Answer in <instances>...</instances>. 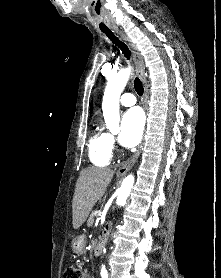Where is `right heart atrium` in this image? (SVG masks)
Instances as JSON below:
<instances>
[{"instance_id": "d8ad5b80", "label": "right heart atrium", "mask_w": 221, "mask_h": 278, "mask_svg": "<svg viewBox=\"0 0 221 278\" xmlns=\"http://www.w3.org/2000/svg\"><path fill=\"white\" fill-rule=\"evenodd\" d=\"M109 137H110V143L113 146L114 145V138L111 135H109Z\"/></svg>"}]
</instances>
